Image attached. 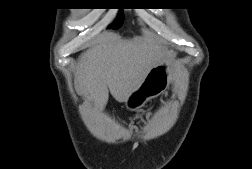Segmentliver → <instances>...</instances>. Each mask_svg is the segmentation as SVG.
I'll return each instance as SVG.
<instances>
[{
	"label": "liver",
	"mask_w": 252,
	"mask_h": 169,
	"mask_svg": "<svg viewBox=\"0 0 252 169\" xmlns=\"http://www.w3.org/2000/svg\"><path fill=\"white\" fill-rule=\"evenodd\" d=\"M162 57V48L155 41L139 37L104 41L80 56L77 86L84 98L93 102L95 111L100 112L108 102L109 91L115 100L125 102Z\"/></svg>",
	"instance_id": "1"
}]
</instances>
